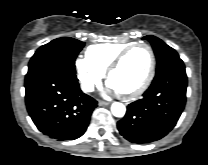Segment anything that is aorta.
<instances>
[{
  "label": "aorta",
  "mask_w": 208,
  "mask_h": 165,
  "mask_svg": "<svg viewBox=\"0 0 208 165\" xmlns=\"http://www.w3.org/2000/svg\"><path fill=\"white\" fill-rule=\"evenodd\" d=\"M111 112L115 117L121 118L125 115L126 107L120 102H114L111 105Z\"/></svg>",
  "instance_id": "aorta-1"
}]
</instances>
